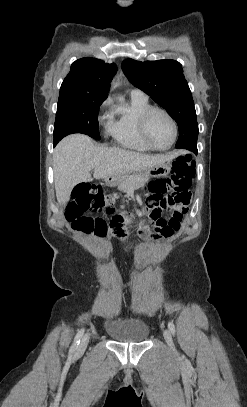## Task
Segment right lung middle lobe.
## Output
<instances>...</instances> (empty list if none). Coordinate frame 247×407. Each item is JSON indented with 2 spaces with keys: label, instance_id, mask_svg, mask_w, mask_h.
Wrapping results in <instances>:
<instances>
[{
  "label": "right lung middle lobe",
  "instance_id": "obj_1",
  "mask_svg": "<svg viewBox=\"0 0 247 407\" xmlns=\"http://www.w3.org/2000/svg\"><path fill=\"white\" fill-rule=\"evenodd\" d=\"M104 100L58 101L54 124V145L72 133H83L100 140L98 112Z\"/></svg>",
  "mask_w": 247,
  "mask_h": 407
}]
</instances>
